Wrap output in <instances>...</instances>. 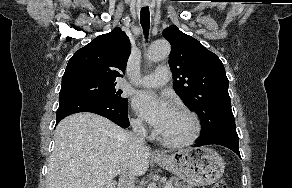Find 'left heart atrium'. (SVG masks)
<instances>
[{
	"mask_svg": "<svg viewBox=\"0 0 292 188\" xmlns=\"http://www.w3.org/2000/svg\"><path fill=\"white\" fill-rule=\"evenodd\" d=\"M134 109L160 132L171 117L174 108L165 97L152 91H140L133 100Z\"/></svg>",
	"mask_w": 292,
	"mask_h": 188,
	"instance_id": "left-heart-atrium-1",
	"label": "left heart atrium"
}]
</instances>
